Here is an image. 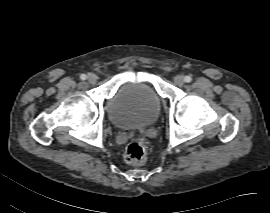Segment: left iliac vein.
<instances>
[{
	"mask_svg": "<svg viewBox=\"0 0 270 213\" xmlns=\"http://www.w3.org/2000/svg\"><path fill=\"white\" fill-rule=\"evenodd\" d=\"M174 83L177 86H182L184 84V78L182 76H176L174 77Z\"/></svg>",
	"mask_w": 270,
	"mask_h": 213,
	"instance_id": "obj_1",
	"label": "left iliac vein"
}]
</instances>
